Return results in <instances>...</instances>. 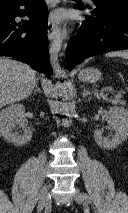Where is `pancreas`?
<instances>
[{"instance_id":"obj_1","label":"pancreas","mask_w":128,"mask_h":213,"mask_svg":"<svg viewBox=\"0 0 128 213\" xmlns=\"http://www.w3.org/2000/svg\"><path fill=\"white\" fill-rule=\"evenodd\" d=\"M107 102H111L115 105H124L125 101L121 99V97H116L114 99H106Z\"/></svg>"}]
</instances>
